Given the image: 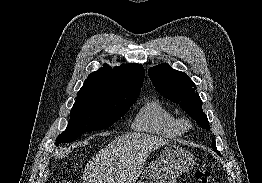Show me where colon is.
<instances>
[{"label":"colon","mask_w":262,"mask_h":183,"mask_svg":"<svg viewBox=\"0 0 262 183\" xmlns=\"http://www.w3.org/2000/svg\"><path fill=\"white\" fill-rule=\"evenodd\" d=\"M194 178L197 183H208L211 178V172L209 170H197L194 173ZM60 183H73L72 181H62Z\"/></svg>","instance_id":"colon-1"}]
</instances>
